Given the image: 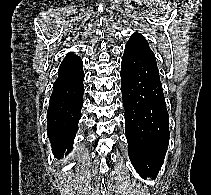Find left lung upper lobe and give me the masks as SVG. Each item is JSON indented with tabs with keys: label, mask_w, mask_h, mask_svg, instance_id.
Returning a JSON list of instances; mask_svg holds the SVG:
<instances>
[{
	"label": "left lung upper lobe",
	"mask_w": 211,
	"mask_h": 195,
	"mask_svg": "<svg viewBox=\"0 0 211 195\" xmlns=\"http://www.w3.org/2000/svg\"><path fill=\"white\" fill-rule=\"evenodd\" d=\"M123 57L133 62H146L158 70L155 54L144 36L138 32L131 35L125 46Z\"/></svg>",
	"instance_id": "left-lung-upper-lobe-1"
}]
</instances>
